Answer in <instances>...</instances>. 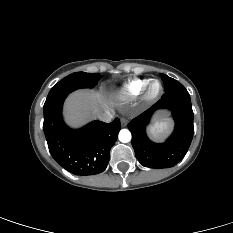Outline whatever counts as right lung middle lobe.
Wrapping results in <instances>:
<instances>
[{
    "instance_id": "right-lung-middle-lobe-1",
    "label": "right lung middle lobe",
    "mask_w": 233,
    "mask_h": 233,
    "mask_svg": "<svg viewBox=\"0 0 233 233\" xmlns=\"http://www.w3.org/2000/svg\"><path fill=\"white\" fill-rule=\"evenodd\" d=\"M101 78L98 73L75 72L58 82L49 92L46 102H51L80 88H91Z\"/></svg>"
}]
</instances>
